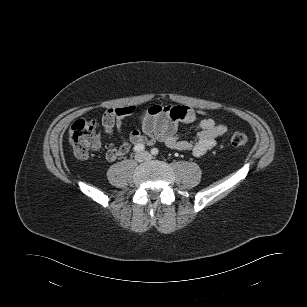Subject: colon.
Returning <instances> with one entry per match:
<instances>
[{
  "mask_svg": "<svg viewBox=\"0 0 307 307\" xmlns=\"http://www.w3.org/2000/svg\"><path fill=\"white\" fill-rule=\"evenodd\" d=\"M96 128L97 123L93 119H79L72 124L69 130V141L77 157L87 158L92 150L99 147ZM247 142L248 137L243 132H235L230 139L234 147H242Z\"/></svg>",
  "mask_w": 307,
  "mask_h": 307,
  "instance_id": "colon-1",
  "label": "colon"
}]
</instances>
